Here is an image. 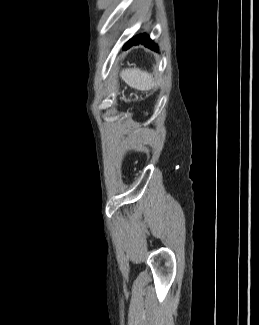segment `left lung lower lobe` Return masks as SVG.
Wrapping results in <instances>:
<instances>
[{
  "label": "left lung lower lobe",
  "mask_w": 259,
  "mask_h": 325,
  "mask_svg": "<svg viewBox=\"0 0 259 325\" xmlns=\"http://www.w3.org/2000/svg\"><path fill=\"white\" fill-rule=\"evenodd\" d=\"M138 44H144V46H146L154 51H158V46L146 34H141V35L135 36L134 38L129 40L123 46V50H127L131 46L138 45Z\"/></svg>",
  "instance_id": "0a47b994"
}]
</instances>
